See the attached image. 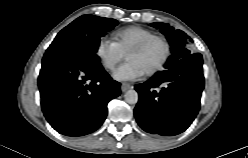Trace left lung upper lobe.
Instances as JSON below:
<instances>
[{
  "mask_svg": "<svg viewBox=\"0 0 248 158\" xmlns=\"http://www.w3.org/2000/svg\"><path fill=\"white\" fill-rule=\"evenodd\" d=\"M150 25L155 28H159L160 31L166 36L171 46V56L164 65L165 70L171 68L180 59L191 55V52L188 48L189 44L192 42V39H190L186 33L181 30H174L173 27L166 23H152Z\"/></svg>",
  "mask_w": 248,
  "mask_h": 158,
  "instance_id": "5c2ea615",
  "label": "left lung upper lobe"
}]
</instances>
